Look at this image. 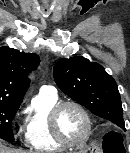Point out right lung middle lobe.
<instances>
[{"mask_svg": "<svg viewBox=\"0 0 130 153\" xmlns=\"http://www.w3.org/2000/svg\"><path fill=\"white\" fill-rule=\"evenodd\" d=\"M21 103L0 101V138L13 141L12 119L16 115Z\"/></svg>", "mask_w": 130, "mask_h": 153, "instance_id": "dd1d6c3e", "label": "right lung middle lobe"}]
</instances>
